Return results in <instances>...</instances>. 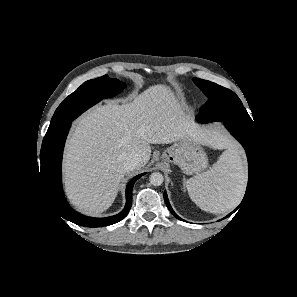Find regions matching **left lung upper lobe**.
<instances>
[{
	"label": "left lung upper lobe",
	"mask_w": 297,
	"mask_h": 297,
	"mask_svg": "<svg viewBox=\"0 0 297 297\" xmlns=\"http://www.w3.org/2000/svg\"><path fill=\"white\" fill-rule=\"evenodd\" d=\"M193 81L208 98L196 116L198 121L228 120L255 130L254 122L234 92L207 80L194 78Z\"/></svg>",
	"instance_id": "5c2ea615"
}]
</instances>
